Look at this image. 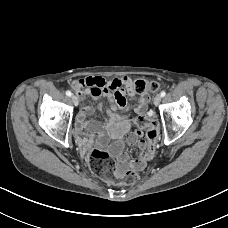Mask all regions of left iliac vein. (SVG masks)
<instances>
[{"label": "left iliac vein", "instance_id": "left-iliac-vein-1", "mask_svg": "<svg viewBox=\"0 0 228 228\" xmlns=\"http://www.w3.org/2000/svg\"><path fill=\"white\" fill-rule=\"evenodd\" d=\"M161 98L162 97L159 94L154 97L153 103H154L155 106L159 105V103L161 102Z\"/></svg>", "mask_w": 228, "mask_h": 228}]
</instances>
